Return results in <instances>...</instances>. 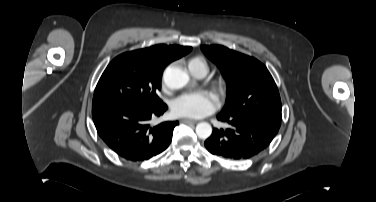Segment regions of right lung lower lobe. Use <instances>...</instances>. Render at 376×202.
<instances>
[{
	"mask_svg": "<svg viewBox=\"0 0 376 202\" xmlns=\"http://www.w3.org/2000/svg\"><path fill=\"white\" fill-rule=\"evenodd\" d=\"M167 110L162 101L154 104L112 101L92 107L99 136L119 156L144 161L163 152L172 140L178 121L151 126L149 120Z\"/></svg>",
	"mask_w": 376,
	"mask_h": 202,
	"instance_id": "1",
	"label": "right lung lower lobe"
}]
</instances>
